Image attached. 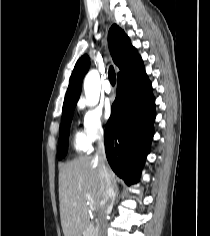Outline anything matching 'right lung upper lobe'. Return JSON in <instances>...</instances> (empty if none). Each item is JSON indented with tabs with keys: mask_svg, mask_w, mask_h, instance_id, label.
I'll return each mask as SVG.
<instances>
[{
	"mask_svg": "<svg viewBox=\"0 0 210 236\" xmlns=\"http://www.w3.org/2000/svg\"><path fill=\"white\" fill-rule=\"evenodd\" d=\"M108 42L113 61L120 69L117 78L134 71L142 65V59L131 45L130 39L116 24L109 29ZM89 65L90 60L87 55L82 56L77 61L70 77L62 112L74 110L80 96L81 83L89 69Z\"/></svg>",
	"mask_w": 210,
	"mask_h": 236,
	"instance_id": "right-lung-upper-lobe-1",
	"label": "right lung upper lobe"
}]
</instances>
